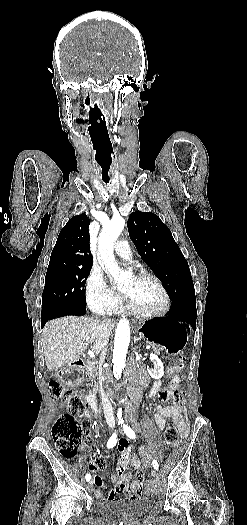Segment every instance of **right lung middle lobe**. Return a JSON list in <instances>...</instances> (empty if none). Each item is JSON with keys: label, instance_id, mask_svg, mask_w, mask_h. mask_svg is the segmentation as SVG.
I'll list each match as a JSON object with an SVG mask.
<instances>
[{"label": "right lung middle lobe", "instance_id": "1", "mask_svg": "<svg viewBox=\"0 0 247 525\" xmlns=\"http://www.w3.org/2000/svg\"><path fill=\"white\" fill-rule=\"evenodd\" d=\"M91 268L47 271L42 294V319L61 314L56 310L85 307L84 287Z\"/></svg>", "mask_w": 247, "mask_h": 525}]
</instances>
